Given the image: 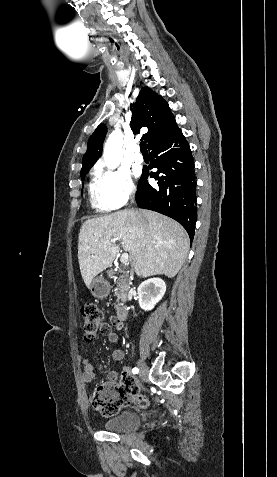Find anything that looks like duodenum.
Instances as JSON below:
<instances>
[{
    "mask_svg": "<svg viewBox=\"0 0 277 477\" xmlns=\"http://www.w3.org/2000/svg\"><path fill=\"white\" fill-rule=\"evenodd\" d=\"M116 316L119 321H124L127 319L128 310L125 306H119L116 311Z\"/></svg>",
    "mask_w": 277,
    "mask_h": 477,
    "instance_id": "410a0bca",
    "label": "duodenum"
}]
</instances>
